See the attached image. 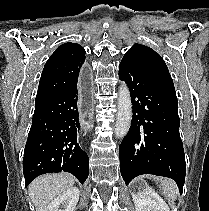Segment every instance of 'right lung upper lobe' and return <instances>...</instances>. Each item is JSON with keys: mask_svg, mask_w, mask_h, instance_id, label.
<instances>
[{"mask_svg": "<svg viewBox=\"0 0 209 211\" xmlns=\"http://www.w3.org/2000/svg\"><path fill=\"white\" fill-rule=\"evenodd\" d=\"M85 54L76 43H65L56 49L44 66L35 107L77 85Z\"/></svg>", "mask_w": 209, "mask_h": 211, "instance_id": "right-lung-upper-lobe-1", "label": "right lung upper lobe"}]
</instances>
